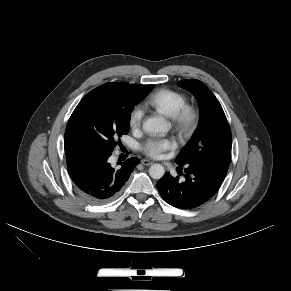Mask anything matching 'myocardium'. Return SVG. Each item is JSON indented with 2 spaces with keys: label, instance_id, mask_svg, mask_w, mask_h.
Returning <instances> with one entry per match:
<instances>
[{
  "label": "myocardium",
  "instance_id": "f54148a6",
  "mask_svg": "<svg viewBox=\"0 0 291 291\" xmlns=\"http://www.w3.org/2000/svg\"><path fill=\"white\" fill-rule=\"evenodd\" d=\"M171 121L182 137H189L198 125L199 111L194 105L185 104L171 117Z\"/></svg>",
  "mask_w": 291,
  "mask_h": 291
}]
</instances>
